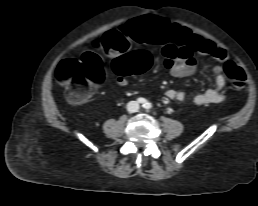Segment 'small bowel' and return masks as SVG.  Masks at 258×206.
<instances>
[{"mask_svg": "<svg viewBox=\"0 0 258 206\" xmlns=\"http://www.w3.org/2000/svg\"><path fill=\"white\" fill-rule=\"evenodd\" d=\"M129 38V32L124 29L109 31L103 37V49L108 56L117 59L127 49ZM157 39L163 44L164 73L175 77L190 76L196 71V60L193 57L195 53L209 55L218 62H225L228 59V54L224 49L192 34L187 28L177 25H171L166 31L159 33ZM212 73L215 76L214 86L195 95L193 98L195 105L203 106L221 103L225 100L226 97L221 90L226 84V79L221 65H215ZM116 83L125 87L129 81L120 74ZM165 97L169 100L183 102L186 100L187 94L183 90L169 89L165 92Z\"/></svg>", "mask_w": 258, "mask_h": 206, "instance_id": "c3829d8e", "label": "small bowel"}]
</instances>
